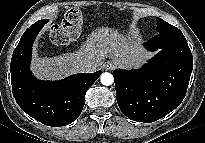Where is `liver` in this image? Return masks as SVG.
I'll list each match as a JSON object with an SVG mask.
<instances>
[{
  "instance_id": "6515ba94",
  "label": "liver",
  "mask_w": 205,
  "mask_h": 143,
  "mask_svg": "<svg viewBox=\"0 0 205 143\" xmlns=\"http://www.w3.org/2000/svg\"><path fill=\"white\" fill-rule=\"evenodd\" d=\"M152 53L145 52L141 43L131 37L108 27H99L92 31L77 52L61 54L55 57L35 56L31 63L34 75L42 80H55L81 71L84 61L93 62L101 67L106 58L111 59L123 69L137 68Z\"/></svg>"
}]
</instances>
